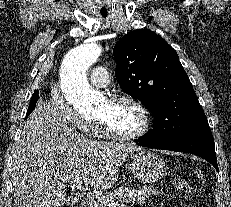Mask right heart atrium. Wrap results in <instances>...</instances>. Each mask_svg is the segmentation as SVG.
Listing matches in <instances>:
<instances>
[{
  "mask_svg": "<svg viewBox=\"0 0 231 207\" xmlns=\"http://www.w3.org/2000/svg\"><path fill=\"white\" fill-rule=\"evenodd\" d=\"M51 104L55 112L84 134L94 133V122L80 114L58 91H53Z\"/></svg>",
  "mask_w": 231,
  "mask_h": 207,
  "instance_id": "right-heart-atrium-1",
  "label": "right heart atrium"
}]
</instances>
